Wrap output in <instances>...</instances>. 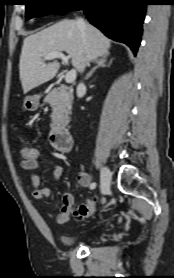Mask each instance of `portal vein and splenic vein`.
Instances as JSON below:
<instances>
[{"mask_svg": "<svg viewBox=\"0 0 174 278\" xmlns=\"http://www.w3.org/2000/svg\"><path fill=\"white\" fill-rule=\"evenodd\" d=\"M56 58L61 59L63 61V63L68 64L69 57L65 56L62 52L49 53L48 55L45 56L43 63H44V61L52 60V59H56ZM75 79H76V70L75 69H72L66 73V76H65L66 83H72L75 81Z\"/></svg>", "mask_w": 174, "mask_h": 278, "instance_id": "obj_1", "label": "portal vein and splenic vein"}]
</instances>
